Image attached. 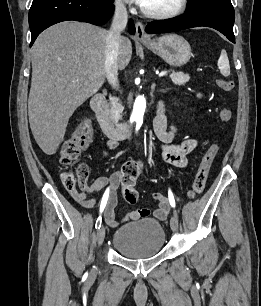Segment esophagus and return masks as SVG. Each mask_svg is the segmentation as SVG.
<instances>
[{"instance_id":"34e87169","label":"esophagus","mask_w":261,"mask_h":306,"mask_svg":"<svg viewBox=\"0 0 261 306\" xmlns=\"http://www.w3.org/2000/svg\"><path fill=\"white\" fill-rule=\"evenodd\" d=\"M136 33L135 37L140 41H148L150 37L146 34L144 25L141 22H136L135 24Z\"/></svg>"}]
</instances>
